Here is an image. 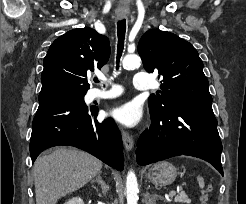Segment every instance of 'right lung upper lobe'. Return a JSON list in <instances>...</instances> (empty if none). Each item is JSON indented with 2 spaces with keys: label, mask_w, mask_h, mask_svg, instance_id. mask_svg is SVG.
Returning <instances> with one entry per match:
<instances>
[{
  "label": "right lung upper lobe",
  "mask_w": 246,
  "mask_h": 204,
  "mask_svg": "<svg viewBox=\"0 0 246 204\" xmlns=\"http://www.w3.org/2000/svg\"><path fill=\"white\" fill-rule=\"evenodd\" d=\"M110 56L107 37L92 28H78L57 38L43 61L38 99L86 93L87 75L105 65Z\"/></svg>",
  "instance_id": "1"
}]
</instances>
